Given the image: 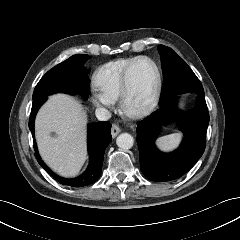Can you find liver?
<instances>
[{"label":"liver","mask_w":240,"mask_h":240,"mask_svg":"<svg viewBox=\"0 0 240 240\" xmlns=\"http://www.w3.org/2000/svg\"><path fill=\"white\" fill-rule=\"evenodd\" d=\"M86 116L73 97L50 96L35 121L36 139L44 161L58 174H78L86 159ZM54 132L56 136H51Z\"/></svg>","instance_id":"6515ba94"}]
</instances>
